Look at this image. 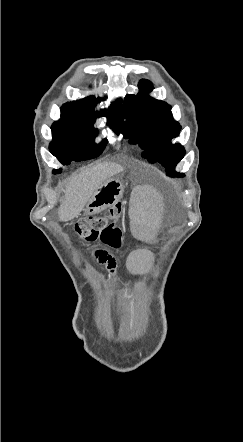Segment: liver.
<instances>
[{
    "label": "liver",
    "mask_w": 243,
    "mask_h": 442,
    "mask_svg": "<svg viewBox=\"0 0 243 442\" xmlns=\"http://www.w3.org/2000/svg\"><path fill=\"white\" fill-rule=\"evenodd\" d=\"M122 171L121 165L104 162L74 175L66 187L65 196L59 207V220L67 222L78 217L97 188L107 179Z\"/></svg>",
    "instance_id": "6515ba94"
}]
</instances>
